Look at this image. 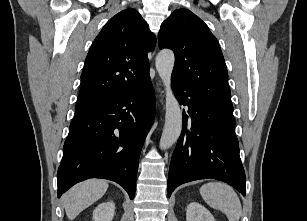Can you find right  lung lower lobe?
I'll return each instance as SVG.
<instances>
[{
  "label": "right lung lower lobe",
  "instance_id": "obj_1",
  "mask_svg": "<svg viewBox=\"0 0 307 221\" xmlns=\"http://www.w3.org/2000/svg\"><path fill=\"white\" fill-rule=\"evenodd\" d=\"M150 76L143 86L75 116L57 173L58 198L77 182L104 178L135 195L139 156L153 122Z\"/></svg>",
  "mask_w": 307,
  "mask_h": 221
}]
</instances>
